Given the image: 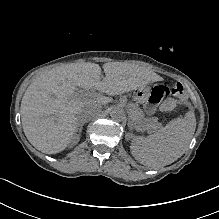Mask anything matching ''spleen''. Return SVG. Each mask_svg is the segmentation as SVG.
<instances>
[{
	"label": "spleen",
	"instance_id": "spleen-1",
	"mask_svg": "<svg viewBox=\"0 0 219 219\" xmlns=\"http://www.w3.org/2000/svg\"><path fill=\"white\" fill-rule=\"evenodd\" d=\"M195 115L177 118L148 137H137L131 144L133 156L147 167H163L179 159L194 135Z\"/></svg>",
	"mask_w": 219,
	"mask_h": 219
}]
</instances>
